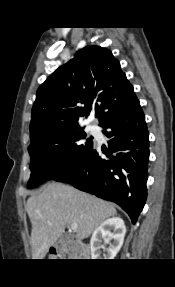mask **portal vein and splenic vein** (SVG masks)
<instances>
[{
	"instance_id": "1",
	"label": "portal vein and splenic vein",
	"mask_w": 175,
	"mask_h": 287,
	"mask_svg": "<svg viewBox=\"0 0 175 287\" xmlns=\"http://www.w3.org/2000/svg\"><path fill=\"white\" fill-rule=\"evenodd\" d=\"M70 227H71V229L76 230L77 227H78V225H77V223H72V224L70 225Z\"/></svg>"
}]
</instances>
